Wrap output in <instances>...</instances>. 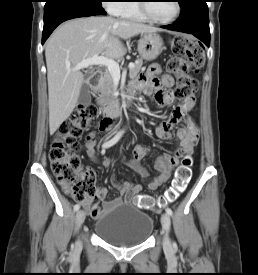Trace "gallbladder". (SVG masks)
<instances>
[{"instance_id":"bac80fb5","label":"gallbladder","mask_w":258,"mask_h":275,"mask_svg":"<svg viewBox=\"0 0 258 275\" xmlns=\"http://www.w3.org/2000/svg\"><path fill=\"white\" fill-rule=\"evenodd\" d=\"M91 103V95L88 85L84 82L80 89V94L78 97V104L87 106Z\"/></svg>"}]
</instances>
